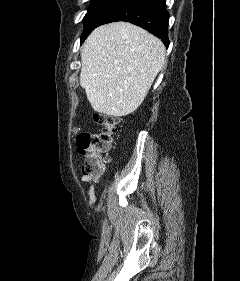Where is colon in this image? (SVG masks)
Wrapping results in <instances>:
<instances>
[{
  "mask_svg": "<svg viewBox=\"0 0 240 281\" xmlns=\"http://www.w3.org/2000/svg\"><path fill=\"white\" fill-rule=\"evenodd\" d=\"M95 121L99 131L78 130L75 134L77 152L85 157L82 172L88 175L102 173L119 124L117 117L106 114H96Z\"/></svg>",
  "mask_w": 240,
  "mask_h": 281,
  "instance_id": "colon-1",
  "label": "colon"
}]
</instances>
